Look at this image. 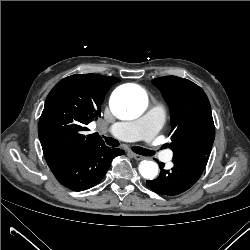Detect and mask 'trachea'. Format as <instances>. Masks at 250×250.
<instances>
[{"instance_id":"3493384b","label":"trachea","mask_w":250,"mask_h":250,"mask_svg":"<svg viewBox=\"0 0 250 250\" xmlns=\"http://www.w3.org/2000/svg\"><path fill=\"white\" fill-rule=\"evenodd\" d=\"M105 141L107 143V145L112 146V147H118L119 146V141L111 138V137H105ZM135 153L140 154V155H144V156H152L154 155V152L142 147H132L131 148Z\"/></svg>"}]
</instances>
